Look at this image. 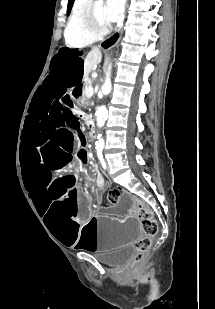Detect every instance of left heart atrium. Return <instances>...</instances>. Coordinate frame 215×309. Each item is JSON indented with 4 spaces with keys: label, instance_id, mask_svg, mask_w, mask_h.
Here are the masks:
<instances>
[{
    "label": "left heart atrium",
    "instance_id": "39dd6f15",
    "mask_svg": "<svg viewBox=\"0 0 215 309\" xmlns=\"http://www.w3.org/2000/svg\"><path fill=\"white\" fill-rule=\"evenodd\" d=\"M106 5L109 8L98 20H112L114 23L120 18L121 12L126 10L125 5H121V0H106Z\"/></svg>",
    "mask_w": 215,
    "mask_h": 309
}]
</instances>
